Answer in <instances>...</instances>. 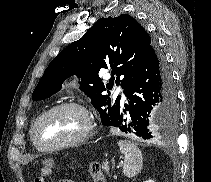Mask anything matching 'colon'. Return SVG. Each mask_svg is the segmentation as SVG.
<instances>
[{"mask_svg":"<svg viewBox=\"0 0 211 182\" xmlns=\"http://www.w3.org/2000/svg\"><path fill=\"white\" fill-rule=\"evenodd\" d=\"M53 166L47 164L43 169L39 176L35 178L34 182H45V179L52 173ZM89 174L93 180V182H106V177L101 170L99 163L91 162L88 165Z\"/></svg>","mask_w":211,"mask_h":182,"instance_id":"1","label":"colon"}]
</instances>
